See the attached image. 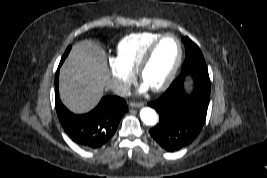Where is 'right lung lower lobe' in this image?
I'll return each instance as SVG.
<instances>
[{
	"instance_id": "obj_1",
	"label": "right lung lower lobe",
	"mask_w": 267,
	"mask_h": 178,
	"mask_svg": "<svg viewBox=\"0 0 267 178\" xmlns=\"http://www.w3.org/2000/svg\"><path fill=\"white\" fill-rule=\"evenodd\" d=\"M58 79L59 69L55 76V105L64 131L81 147L97 149L105 145L113 137L120 119L128 110L126 102L118 96H107L89 113L74 114L60 100Z\"/></svg>"
}]
</instances>
